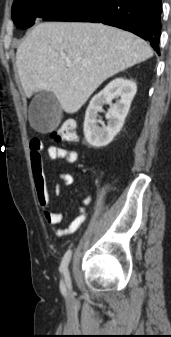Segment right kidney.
<instances>
[{"label":"right kidney","mask_w":171,"mask_h":337,"mask_svg":"<svg viewBox=\"0 0 171 337\" xmlns=\"http://www.w3.org/2000/svg\"><path fill=\"white\" fill-rule=\"evenodd\" d=\"M136 91L137 87L134 81L116 78L92 98L84 120V135L88 144L100 148L113 140L124 124ZM114 99L116 103L105 115L108 119L107 126L104 123H102V127L98 126V112H102L103 105L112 103Z\"/></svg>","instance_id":"1"}]
</instances>
